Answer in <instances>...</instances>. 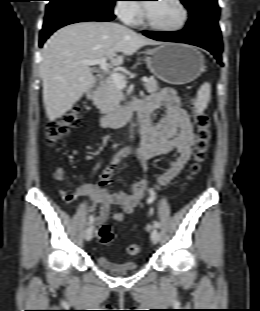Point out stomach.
I'll return each instance as SVG.
<instances>
[{
  "label": "stomach",
  "mask_w": 260,
  "mask_h": 311,
  "mask_svg": "<svg viewBox=\"0 0 260 311\" xmlns=\"http://www.w3.org/2000/svg\"><path fill=\"white\" fill-rule=\"evenodd\" d=\"M146 55L149 70L169 84L190 83L205 71L204 56L190 45L164 43Z\"/></svg>",
  "instance_id": "obj_1"
}]
</instances>
